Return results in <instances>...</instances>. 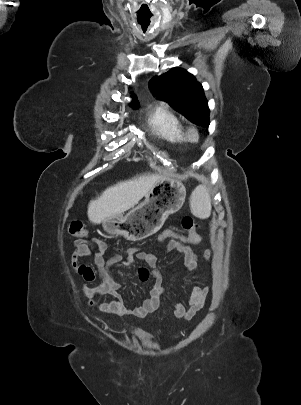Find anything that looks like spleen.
I'll return each instance as SVG.
<instances>
[{"label": "spleen", "instance_id": "obj_1", "mask_svg": "<svg viewBox=\"0 0 301 405\" xmlns=\"http://www.w3.org/2000/svg\"><path fill=\"white\" fill-rule=\"evenodd\" d=\"M191 212L198 218L206 219L211 214V199L208 189L200 185L192 192L190 200Z\"/></svg>", "mask_w": 301, "mask_h": 405}]
</instances>
